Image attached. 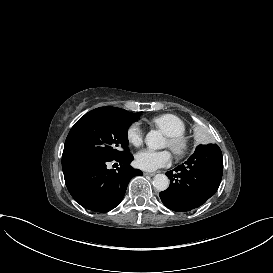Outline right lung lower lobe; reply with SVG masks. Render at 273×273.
I'll return each instance as SVG.
<instances>
[{
    "label": "right lung lower lobe",
    "instance_id": "obj_1",
    "mask_svg": "<svg viewBox=\"0 0 273 273\" xmlns=\"http://www.w3.org/2000/svg\"><path fill=\"white\" fill-rule=\"evenodd\" d=\"M132 160L133 156L127 153L112 160L75 161L62 167L67 189L82 207L106 213L122 201L129 181L142 175L129 165ZM111 161L120 167L108 169Z\"/></svg>",
    "mask_w": 273,
    "mask_h": 273
}]
</instances>
